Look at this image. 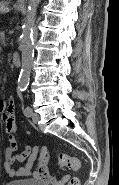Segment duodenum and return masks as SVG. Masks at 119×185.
I'll list each match as a JSON object with an SVG mask.
<instances>
[{
  "label": "duodenum",
  "mask_w": 119,
  "mask_h": 185,
  "mask_svg": "<svg viewBox=\"0 0 119 185\" xmlns=\"http://www.w3.org/2000/svg\"><path fill=\"white\" fill-rule=\"evenodd\" d=\"M12 60H13V64L15 67H17V68L21 67L22 61H21V57L18 53L13 54Z\"/></svg>",
  "instance_id": "1"
}]
</instances>
